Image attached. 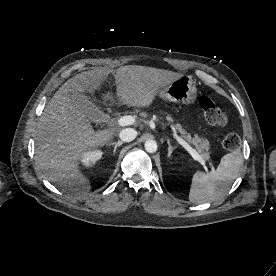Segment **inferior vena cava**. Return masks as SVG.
<instances>
[{
  "label": "inferior vena cava",
  "instance_id": "1",
  "mask_svg": "<svg viewBox=\"0 0 276 276\" xmlns=\"http://www.w3.org/2000/svg\"><path fill=\"white\" fill-rule=\"evenodd\" d=\"M137 136V131L132 128L122 129L119 133V137L124 142H131Z\"/></svg>",
  "mask_w": 276,
  "mask_h": 276
}]
</instances>
